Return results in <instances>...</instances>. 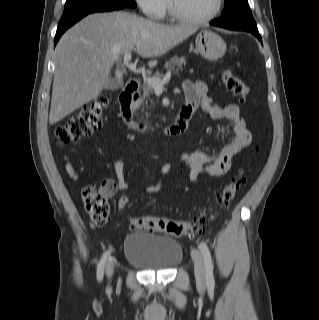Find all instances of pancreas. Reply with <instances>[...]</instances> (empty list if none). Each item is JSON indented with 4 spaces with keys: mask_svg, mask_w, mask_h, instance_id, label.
I'll return each mask as SVG.
<instances>
[{
    "mask_svg": "<svg viewBox=\"0 0 319 320\" xmlns=\"http://www.w3.org/2000/svg\"><path fill=\"white\" fill-rule=\"evenodd\" d=\"M185 63V59L183 57H178L175 55L170 59L169 62L165 63L166 69H172L178 71V69H182V65ZM162 77V74L159 72H156L153 75V78L160 79ZM153 92V87L149 83H145L143 85V95L137 100L136 102V108L142 107V111H144V107L151 108L155 105V103L151 100L150 94ZM149 114L146 112V118H148Z\"/></svg>",
    "mask_w": 319,
    "mask_h": 320,
    "instance_id": "cf45deb5",
    "label": "pancreas"
}]
</instances>
